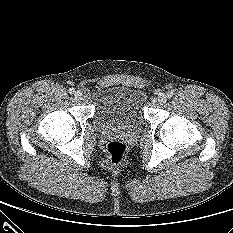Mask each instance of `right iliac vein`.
<instances>
[{"label":"right iliac vein","instance_id":"63e3f726","mask_svg":"<svg viewBox=\"0 0 233 233\" xmlns=\"http://www.w3.org/2000/svg\"><path fill=\"white\" fill-rule=\"evenodd\" d=\"M74 96H75V98H76L77 100H82V99H83V93H82V91H76V92L74 93Z\"/></svg>","mask_w":233,"mask_h":233}]
</instances>
